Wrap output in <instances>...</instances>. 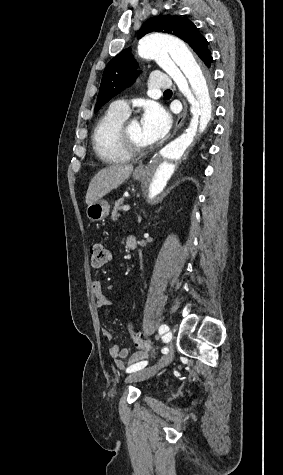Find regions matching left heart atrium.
Listing matches in <instances>:
<instances>
[{
  "instance_id": "obj_1",
  "label": "left heart atrium",
  "mask_w": 283,
  "mask_h": 475,
  "mask_svg": "<svg viewBox=\"0 0 283 475\" xmlns=\"http://www.w3.org/2000/svg\"><path fill=\"white\" fill-rule=\"evenodd\" d=\"M144 138L150 143L163 139L171 127V117L159 104H149L142 115Z\"/></svg>"
}]
</instances>
